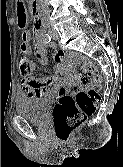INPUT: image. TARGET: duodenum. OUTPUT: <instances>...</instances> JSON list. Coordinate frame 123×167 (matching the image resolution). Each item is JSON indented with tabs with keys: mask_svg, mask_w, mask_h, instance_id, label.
Instances as JSON below:
<instances>
[{
	"mask_svg": "<svg viewBox=\"0 0 123 167\" xmlns=\"http://www.w3.org/2000/svg\"><path fill=\"white\" fill-rule=\"evenodd\" d=\"M32 11L36 16V22L41 25V28L43 30L44 18H43V13L38 0H32Z\"/></svg>",
	"mask_w": 123,
	"mask_h": 167,
	"instance_id": "obj_1",
	"label": "duodenum"
}]
</instances>
